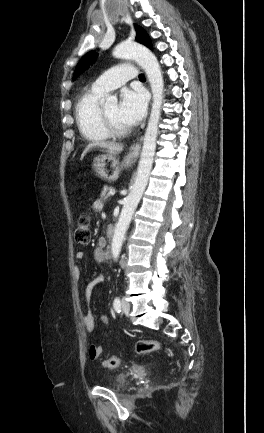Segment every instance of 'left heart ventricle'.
Wrapping results in <instances>:
<instances>
[{
	"instance_id": "obj_1",
	"label": "left heart ventricle",
	"mask_w": 264,
	"mask_h": 433,
	"mask_svg": "<svg viewBox=\"0 0 264 433\" xmlns=\"http://www.w3.org/2000/svg\"><path fill=\"white\" fill-rule=\"evenodd\" d=\"M104 109L117 126H119L121 128H128V125L125 124L120 119V117L118 115V105L117 104L107 105L104 107Z\"/></svg>"
}]
</instances>
